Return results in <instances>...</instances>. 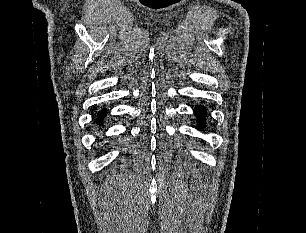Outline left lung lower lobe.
Masks as SVG:
<instances>
[{"instance_id":"1","label":"left lung lower lobe","mask_w":306,"mask_h":233,"mask_svg":"<svg viewBox=\"0 0 306 233\" xmlns=\"http://www.w3.org/2000/svg\"><path fill=\"white\" fill-rule=\"evenodd\" d=\"M196 115L197 117L199 118V122H200V125L201 127L204 125V122H205V109L204 108H201L200 106L196 108Z\"/></svg>"}]
</instances>
